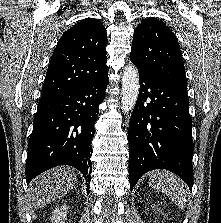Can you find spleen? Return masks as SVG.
Listing matches in <instances>:
<instances>
[{
  "label": "spleen",
  "instance_id": "spleen-1",
  "mask_svg": "<svg viewBox=\"0 0 221 223\" xmlns=\"http://www.w3.org/2000/svg\"><path fill=\"white\" fill-rule=\"evenodd\" d=\"M149 181L153 188L166 193L179 208H185L186 193L182 181L177 176L169 172H155Z\"/></svg>",
  "mask_w": 221,
  "mask_h": 223
}]
</instances>
